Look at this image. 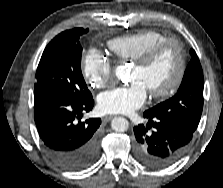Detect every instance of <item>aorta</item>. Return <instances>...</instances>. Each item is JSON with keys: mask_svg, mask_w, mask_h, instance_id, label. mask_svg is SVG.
I'll return each instance as SVG.
<instances>
[{"mask_svg": "<svg viewBox=\"0 0 223 188\" xmlns=\"http://www.w3.org/2000/svg\"><path fill=\"white\" fill-rule=\"evenodd\" d=\"M127 72H128V69L126 65H119L115 69L116 77L118 79H121L122 81L126 79ZM111 127L116 132H125L129 127V123L123 117H115L111 121Z\"/></svg>", "mask_w": 223, "mask_h": 188, "instance_id": "obj_1", "label": "aorta"}]
</instances>
